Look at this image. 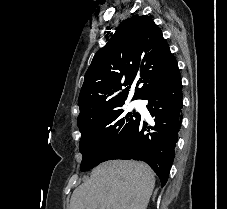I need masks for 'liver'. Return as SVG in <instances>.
<instances>
[{"label": "liver", "mask_w": 227, "mask_h": 209, "mask_svg": "<svg viewBox=\"0 0 227 209\" xmlns=\"http://www.w3.org/2000/svg\"><path fill=\"white\" fill-rule=\"evenodd\" d=\"M152 169L136 161H108L75 189L70 209H147L154 189Z\"/></svg>", "instance_id": "obj_1"}]
</instances>
